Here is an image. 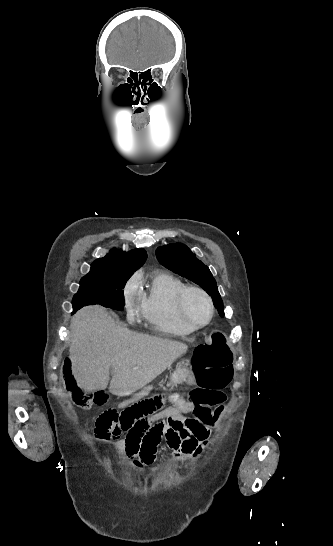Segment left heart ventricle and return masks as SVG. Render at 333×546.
<instances>
[{
	"instance_id": "obj_1",
	"label": "left heart ventricle",
	"mask_w": 333,
	"mask_h": 546,
	"mask_svg": "<svg viewBox=\"0 0 333 546\" xmlns=\"http://www.w3.org/2000/svg\"><path fill=\"white\" fill-rule=\"evenodd\" d=\"M187 311L191 319L196 323H203L209 317L207 302L197 294H192L189 297Z\"/></svg>"
}]
</instances>
